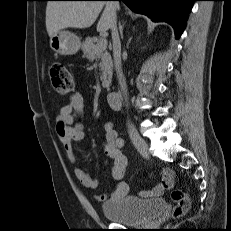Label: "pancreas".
<instances>
[{
	"instance_id": "pancreas-1",
	"label": "pancreas",
	"mask_w": 231,
	"mask_h": 231,
	"mask_svg": "<svg viewBox=\"0 0 231 231\" xmlns=\"http://www.w3.org/2000/svg\"><path fill=\"white\" fill-rule=\"evenodd\" d=\"M97 42L96 38L87 37L82 44V51L89 61H100V79L102 86L108 89L112 79L113 62L106 48H99Z\"/></svg>"
}]
</instances>
